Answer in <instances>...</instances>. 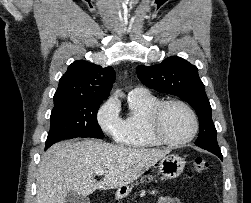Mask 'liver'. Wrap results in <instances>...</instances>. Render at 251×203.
<instances>
[{"label":"liver","mask_w":251,"mask_h":203,"mask_svg":"<svg viewBox=\"0 0 251 203\" xmlns=\"http://www.w3.org/2000/svg\"><path fill=\"white\" fill-rule=\"evenodd\" d=\"M170 150L128 148L94 139L54 144L42 156L37 176V203H65L75 192L87 197L95 190L127 186L140 178ZM106 171L97 181L95 172Z\"/></svg>","instance_id":"1"}]
</instances>
